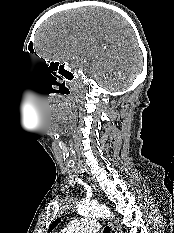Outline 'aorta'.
Listing matches in <instances>:
<instances>
[{
  "mask_svg": "<svg viewBox=\"0 0 174 233\" xmlns=\"http://www.w3.org/2000/svg\"><path fill=\"white\" fill-rule=\"evenodd\" d=\"M77 212L85 217H111L112 214L105 205L99 203H81Z\"/></svg>",
  "mask_w": 174,
  "mask_h": 233,
  "instance_id": "obj_1",
  "label": "aorta"
}]
</instances>
